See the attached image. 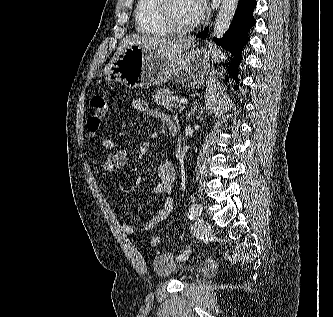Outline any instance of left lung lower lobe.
<instances>
[{
	"label": "left lung lower lobe",
	"mask_w": 333,
	"mask_h": 317,
	"mask_svg": "<svg viewBox=\"0 0 333 317\" xmlns=\"http://www.w3.org/2000/svg\"><path fill=\"white\" fill-rule=\"evenodd\" d=\"M257 5L256 0H239L236 13L231 22L230 28L224 34L223 38H214L216 44L223 46L232 53L233 58L224 64L228 70L225 81H229V76L236 78L238 66L241 61V51L249 41L248 32L256 24L253 17V11ZM209 26L201 31L196 37L205 39L208 36ZM237 90V86H235Z\"/></svg>",
	"instance_id": "obj_1"
}]
</instances>
